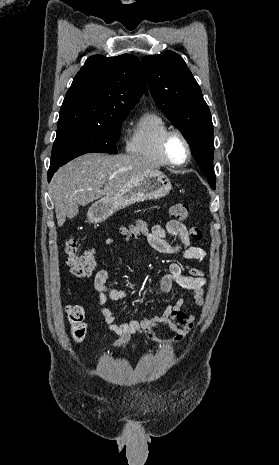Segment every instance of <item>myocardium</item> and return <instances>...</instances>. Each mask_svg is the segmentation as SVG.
<instances>
[{
    "label": "myocardium",
    "instance_id": "obj_1",
    "mask_svg": "<svg viewBox=\"0 0 279 465\" xmlns=\"http://www.w3.org/2000/svg\"><path fill=\"white\" fill-rule=\"evenodd\" d=\"M174 136H178L186 146L187 155H186L185 160L183 162H181V163L174 162L171 159V157L169 156V153H168V143H169L170 139L172 137H174ZM160 150H161V153H162L164 159L166 160V162L169 165H172V166H175V167L185 166L190 161L191 156H192V148H191V144H190L188 138L185 136V134L183 132H181L178 129H169L168 131H166L163 134V136L161 138V141H160Z\"/></svg>",
    "mask_w": 279,
    "mask_h": 465
}]
</instances>
